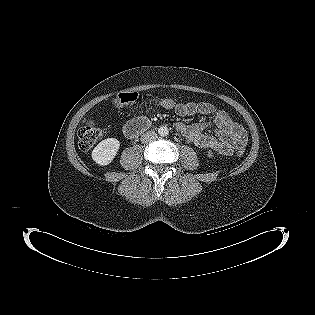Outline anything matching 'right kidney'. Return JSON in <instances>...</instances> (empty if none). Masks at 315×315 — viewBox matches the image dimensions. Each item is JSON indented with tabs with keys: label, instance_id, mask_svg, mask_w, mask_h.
<instances>
[{
	"label": "right kidney",
	"instance_id": "ca27d5eb",
	"mask_svg": "<svg viewBox=\"0 0 315 315\" xmlns=\"http://www.w3.org/2000/svg\"><path fill=\"white\" fill-rule=\"evenodd\" d=\"M120 142L116 138L101 141L92 151V159L100 166L108 165L115 158Z\"/></svg>",
	"mask_w": 315,
	"mask_h": 315
}]
</instances>
